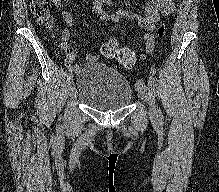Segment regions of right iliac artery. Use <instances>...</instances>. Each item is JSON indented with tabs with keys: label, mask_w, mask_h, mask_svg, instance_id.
I'll list each match as a JSON object with an SVG mask.
<instances>
[{
	"label": "right iliac artery",
	"mask_w": 219,
	"mask_h": 192,
	"mask_svg": "<svg viewBox=\"0 0 219 192\" xmlns=\"http://www.w3.org/2000/svg\"><path fill=\"white\" fill-rule=\"evenodd\" d=\"M71 77H72V74H71V73H68V74H67V78L70 79Z\"/></svg>",
	"instance_id": "obj_1"
}]
</instances>
